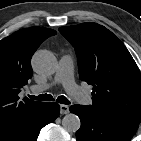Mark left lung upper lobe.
I'll return each mask as SVG.
<instances>
[{"instance_id": "obj_1", "label": "left lung upper lobe", "mask_w": 141, "mask_h": 141, "mask_svg": "<svg viewBox=\"0 0 141 141\" xmlns=\"http://www.w3.org/2000/svg\"><path fill=\"white\" fill-rule=\"evenodd\" d=\"M59 31L76 50L80 79L93 85L91 107L139 125L141 74L124 44L96 23L60 27Z\"/></svg>"}]
</instances>
